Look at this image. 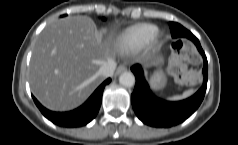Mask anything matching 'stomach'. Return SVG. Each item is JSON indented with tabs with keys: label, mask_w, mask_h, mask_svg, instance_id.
<instances>
[{
	"label": "stomach",
	"mask_w": 238,
	"mask_h": 145,
	"mask_svg": "<svg viewBox=\"0 0 238 145\" xmlns=\"http://www.w3.org/2000/svg\"><path fill=\"white\" fill-rule=\"evenodd\" d=\"M166 82H167L166 75L160 69L156 70L150 77L151 87L155 90L162 89L166 85Z\"/></svg>",
	"instance_id": "1"
}]
</instances>
